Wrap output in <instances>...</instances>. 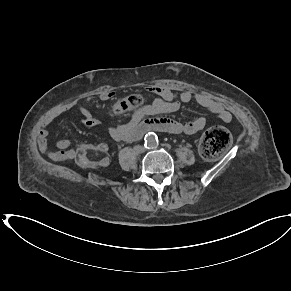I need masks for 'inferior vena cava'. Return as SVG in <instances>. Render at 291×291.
<instances>
[{
  "label": "inferior vena cava",
  "mask_w": 291,
  "mask_h": 291,
  "mask_svg": "<svg viewBox=\"0 0 291 291\" xmlns=\"http://www.w3.org/2000/svg\"><path fill=\"white\" fill-rule=\"evenodd\" d=\"M143 150H144V148L142 147V148H141V151H143Z\"/></svg>",
  "instance_id": "inferior-vena-cava-1"
}]
</instances>
